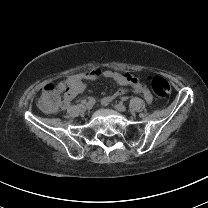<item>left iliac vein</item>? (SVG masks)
I'll return each mask as SVG.
<instances>
[{
  "instance_id": "1",
  "label": "left iliac vein",
  "mask_w": 208,
  "mask_h": 208,
  "mask_svg": "<svg viewBox=\"0 0 208 208\" xmlns=\"http://www.w3.org/2000/svg\"><path fill=\"white\" fill-rule=\"evenodd\" d=\"M114 107H115L116 110H118L120 112H125L126 111V107L122 103L115 104Z\"/></svg>"
}]
</instances>
